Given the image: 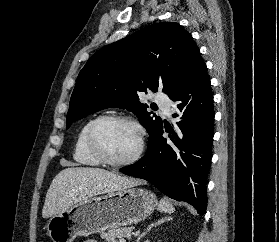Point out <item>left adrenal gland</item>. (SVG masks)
Here are the masks:
<instances>
[{
  "instance_id": "obj_1",
  "label": "left adrenal gland",
  "mask_w": 279,
  "mask_h": 242,
  "mask_svg": "<svg viewBox=\"0 0 279 242\" xmlns=\"http://www.w3.org/2000/svg\"><path fill=\"white\" fill-rule=\"evenodd\" d=\"M171 219H172V217H164V218L159 219L158 221H156V222L150 224V225L147 227V229H146L142 234H140V235L138 236L136 242H139L140 239H141L142 237H144L153 227H156V226H158V225L164 223L165 221H169V220H171Z\"/></svg>"
}]
</instances>
